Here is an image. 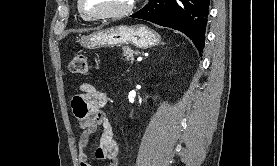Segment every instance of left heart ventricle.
Returning <instances> with one entry per match:
<instances>
[{"label": "left heart ventricle", "mask_w": 277, "mask_h": 166, "mask_svg": "<svg viewBox=\"0 0 277 166\" xmlns=\"http://www.w3.org/2000/svg\"><path fill=\"white\" fill-rule=\"evenodd\" d=\"M130 0H83V7L89 13H105L125 8Z\"/></svg>", "instance_id": "b2bd125f"}]
</instances>
